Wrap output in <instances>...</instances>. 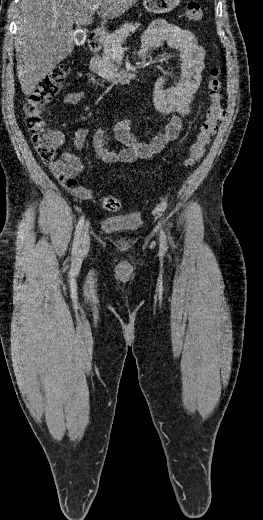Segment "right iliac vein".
<instances>
[{"instance_id":"obj_1","label":"right iliac vein","mask_w":263,"mask_h":520,"mask_svg":"<svg viewBox=\"0 0 263 520\" xmlns=\"http://www.w3.org/2000/svg\"><path fill=\"white\" fill-rule=\"evenodd\" d=\"M90 245V236H89V223H86L81 231L79 245H78V255L84 256L88 253Z\"/></svg>"}]
</instances>
